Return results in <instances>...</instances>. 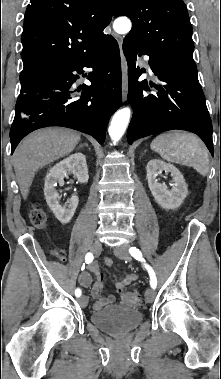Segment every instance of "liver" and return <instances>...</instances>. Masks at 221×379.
Listing matches in <instances>:
<instances>
[{
  "label": "liver",
  "mask_w": 221,
  "mask_h": 379,
  "mask_svg": "<svg viewBox=\"0 0 221 379\" xmlns=\"http://www.w3.org/2000/svg\"><path fill=\"white\" fill-rule=\"evenodd\" d=\"M80 134L65 128H45L37 130L24 138L13 155L17 182L24 199L36 172L43 166L71 153Z\"/></svg>",
  "instance_id": "liver-1"
}]
</instances>
